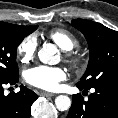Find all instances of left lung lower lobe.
Segmentation results:
<instances>
[{"label": "left lung lower lobe", "instance_id": "left-lung-lower-lobe-1", "mask_svg": "<svg viewBox=\"0 0 118 118\" xmlns=\"http://www.w3.org/2000/svg\"><path fill=\"white\" fill-rule=\"evenodd\" d=\"M79 90L88 89L77 86ZM88 100L81 94L73 95L72 106L67 118H118V84L93 87Z\"/></svg>", "mask_w": 118, "mask_h": 118}]
</instances>
